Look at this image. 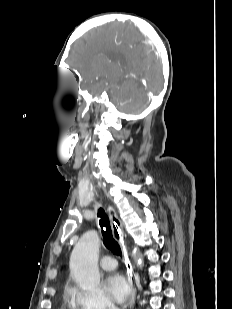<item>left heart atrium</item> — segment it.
<instances>
[{
  "label": "left heart atrium",
  "instance_id": "1",
  "mask_svg": "<svg viewBox=\"0 0 232 309\" xmlns=\"http://www.w3.org/2000/svg\"><path fill=\"white\" fill-rule=\"evenodd\" d=\"M107 289L112 298L123 304L130 299L131 288L128 279L120 272H114L107 278Z\"/></svg>",
  "mask_w": 232,
  "mask_h": 309
}]
</instances>
